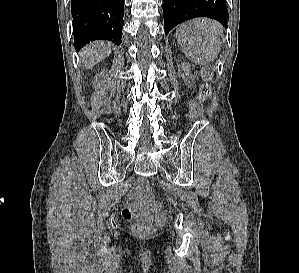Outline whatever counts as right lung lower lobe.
Returning a JSON list of instances; mask_svg holds the SVG:
<instances>
[{"label":"right lung lower lobe","instance_id":"98d812e1","mask_svg":"<svg viewBox=\"0 0 299 273\" xmlns=\"http://www.w3.org/2000/svg\"><path fill=\"white\" fill-rule=\"evenodd\" d=\"M75 49L94 40L121 44L124 0H71Z\"/></svg>","mask_w":299,"mask_h":273}]
</instances>
